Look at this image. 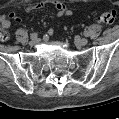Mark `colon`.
I'll return each mask as SVG.
<instances>
[{
  "mask_svg": "<svg viewBox=\"0 0 119 119\" xmlns=\"http://www.w3.org/2000/svg\"><path fill=\"white\" fill-rule=\"evenodd\" d=\"M115 19H116V12L113 10L105 11L99 17V20L105 25H112L115 22ZM8 37L9 36H8L7 31L2 30L0 32V39L1 40L5 41L8 39Z\"/></svg>",
  "mask_w": 119,
  "mask_h": 119,
  "instance_id": "1",
  "label": "colon"
}]
</instances>
